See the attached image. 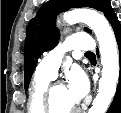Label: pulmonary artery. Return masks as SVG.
<instances>
[{
  "instance_id": "obj_1",
  "label": "pulmonary artery",
  "mask_w": 121,
  "mask_h": 113,
  "mask_svg": "<svg viewBox=\"0 0 121 113\" xmlns=\"http://www.w3.org/2000/svg\"><path fill=\"white\" fill-rule=\"evenodd\" d=\"M93 48L90 35L85 33L70 35L64 39L60 46L45 54L38 64L36 72L54 78L67 51L78 50L90 52Z\"/></svg>"
}]
</instances>
